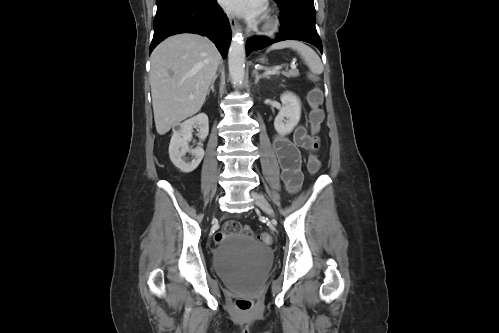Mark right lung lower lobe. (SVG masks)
<instances>
[{"label": "right lung lower lobe", "instance_id": "obj_1", "mask_svg": "<svg viewBox=\"0 0 499 333\" xmlns=\"http://www.w3.org/2000/svg\"><path fill=\"white\" fill-rule=\"evenodd\" d=\"M149 52L167 37L195 33L208 37L226 57L231 40L228 18L217 0H159Z\"/></svg>", "mask_w": 499, "mask_h": 333}]
</instances>
